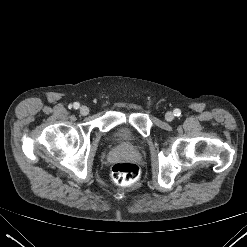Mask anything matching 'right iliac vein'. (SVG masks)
Instances as JSON below:
<instances>
[{
  "mask_svg": "<svg viewBox=\"0 0 247 247\" xmlns=\"http://www.w3.org/2000/svg\"><path fill=\"white\" fill-rule=\"evenodd\" d=\"M79 111L81 115L86 116L89 113V108L87 106H81Z\"/></svg>",
  "mask_w": 247,
  "mask_h": 247,
  "instance_id": "right-iliac-vein-1",
  "label": "right iliac vein"
}]
</instances>
